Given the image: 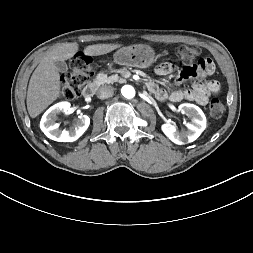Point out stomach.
<instances>
[{"mask_svg":"<svg viewBox=\"0 0 253 253\" xmlns=\"http://www.w3.org/2000/svg\"><path fill=\"white\" fill-rule=\"evenodd\" d=\"M113 61L118 65L147 68L155 61V51L146 44L122 47L114 53Z\"/></svg>","mask_w":253,"mask_h":253,"instance_id":"stomach-1","label":"stomach"}]
</instances>
